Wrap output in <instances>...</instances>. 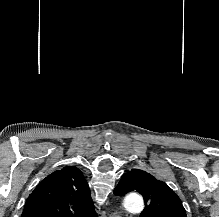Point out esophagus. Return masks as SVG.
Listing matches in <instances>:
<instances>
[{"instance_id": "1", "label": "esophagus", "mask_w": 219, "mask_h": 217, "mask_svg": "<svg viewBox=\"0 0 219 217\" xmlns=\"http://www.w3.org/2000/svg\"><path fill=\"white\" fill-rule=\"evenodd\" d=\"M110 217H119L117 210H113V212L110 214Z\"/></svg>"}]
</instances>
